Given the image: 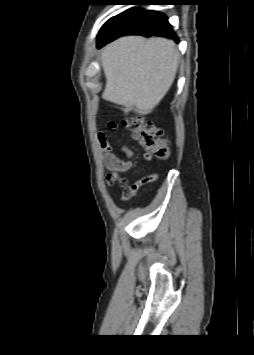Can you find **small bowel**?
<instances>
[{"mask_svg":"<svg viewBox=\"0 0 254 355\" xmlns=\"http://www.w3.org/2000/svg\"><path fill=\"white\" fill-rule=\"evenodd\" d=\"M110 129H115L117 124L115 122H110L108 124ZM97 141L99 144L101 156L103 158L107 174L106 183L108 186H112L118 183L122 188V200L126 201L131 199L136 191L144 184L155 182L158 179L157 174H151L145 176L144 178L136 181L133 184H129L128 180L120 175V173L129 171L132 166V150L125 145L120 146V151L126 155L127 159L120 158L115 152L113 147L109 144L106 134L104 132H99L97 135ZM146 160H151L145 156Z\"/></svg>","mask_w":254,"mask_h":355,"instance_id":"obj_1","label":"small bowel"}]
</instances>
